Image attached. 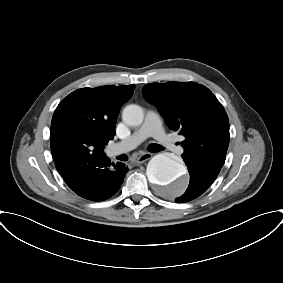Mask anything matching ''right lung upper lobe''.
<instances>
[{"mask_svg": "<svg viewBox=\"0 0 283 283\" xmlns=\"http://www.w3.org/2000/svg\"><path fill=\"white\" fill-rule=\"evenodd\" d=\"M134 88L135 85L82 88L59 103L50 135L52 157L61 175L83 164L76 159L75 144L79 139L94 140L102 149L113 139L120 108L130 99Z\"/></svg>", "mask_w": 283, "mask_h": 283, "instance_id": "cb5924a9", "label": "right lung upper lobe"}]
</instances>
